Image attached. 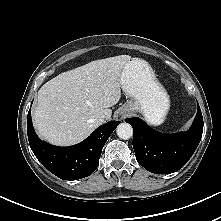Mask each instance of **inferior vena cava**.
Listing matches in <instances>:
<instances>
[{"label": "inferior vena cava", "mask_w": 221, "mask_h": 221, "mask_svg": "<svg viewBox=\"0 0 221 221\" xmlns=\"http://www.w3.org/2000/svg\"><path fill=\"white\" fill-rule=\"evenodd\" d=\"M104 120H105V116H104V115H101V116L98 118L97 122H98L99 124H102V123L104 122Z\"/></svg>", "instance_id": "1"}]
</instances>
